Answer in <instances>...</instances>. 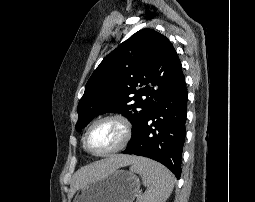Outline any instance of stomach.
<instances>
[{
    "label": "stomach",
    "instance_id": "0dacf381",
    "mask_svg": "<svg viewBox=\"0 0 255 202\" xmlns=\"http://www.w3.org/2000/svg\"><path fill=\"white\" fill-rule=\"evenodd\" d=\"M139 189L136 175L116 169L81 186L72 202H133Z\"/></svg>",
    "mask_w": 255,
    "mask_h": 202
}]
</instances>
